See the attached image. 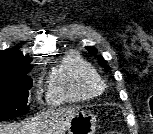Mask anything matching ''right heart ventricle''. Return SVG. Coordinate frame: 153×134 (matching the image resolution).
Returning <instances> with one entry per match:
<instances>
[{
    "label": "right heart ventricle",
    "mask_w": 153,
    "mask_h": 134,
    "mask_svg": "<svg viewBox=\"0 0 153 134\" xmlns=\"http://www.w3.org/2000/svg\"><path fill=\"white\" fill-rule=\"evenodd\" d=\"M101 91L100 76L94 66L71 52L52 69L47 100L51 104L82 102L98 96Z\"/></svg>",
    "instance_id": "1"
}]
</instances>
